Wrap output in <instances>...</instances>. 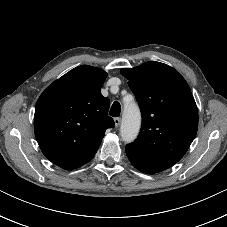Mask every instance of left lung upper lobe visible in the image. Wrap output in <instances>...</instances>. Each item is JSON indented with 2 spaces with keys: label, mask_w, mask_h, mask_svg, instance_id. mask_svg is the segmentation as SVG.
I'll list each match as a JSON object with an SVG mask.
<instances>
[{
  "label": "left lung upper lobe",
  "mask_w": 227,
  "mask_h": 227,
  "mask_svg": "<svg viewBox=\"0 0 227 227\" xmlns=\"http://www.w3.org/2000/svg\"><path fill=\"white\" fill-rule=\"evenodd\" d=\"M121 74L135 94L142 128L126 154L135 168L157 173L176 164L186 153L198 129V110L185 79L174 68L146 62L123 68Z\"/></svg>",
  "instance_id": "5c2ea615"
}]
</instances>
